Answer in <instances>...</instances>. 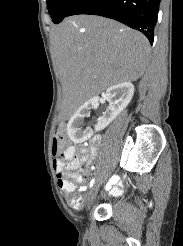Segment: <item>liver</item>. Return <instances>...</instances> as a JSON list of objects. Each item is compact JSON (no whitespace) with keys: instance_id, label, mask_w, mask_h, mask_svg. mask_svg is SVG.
<instances>
[{"instance_id":"liver-1","label":"liver","mask_w":183,"mask_h":246,"mask_svg":"<svg viewBox=\"0 0 183 246\" xmlns=\"http://www.w3.org/2000/svg\"><path fill=\"white\" fill-rule=\"evenodd\" d=\"M52 45L68 115L107 88L138 80L150 54L143 34L95 15L66 18L52 30Z\"/></svg>"}]
</instances>
